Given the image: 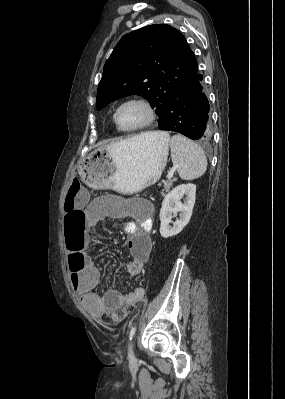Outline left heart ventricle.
<instances>
[{
  "mask_svg": "<svg viewBox=\"0 0 285 399\" xmlns=\"http://www.w3.org/2000/svg\"><path fill=\"white\" fill-rule=\"evenodd\" d=\"M147 111L140 104H128L124 106L118 115L119 123L124 128L134 127L147 119Z\"/></svg>",
  "mask_w": 285,
  "mask_h": 399,
  "instance_id": "1",
  "label": "left heart ventricle"
}]
</instances>
